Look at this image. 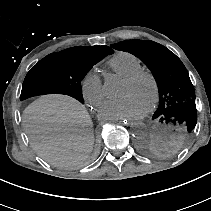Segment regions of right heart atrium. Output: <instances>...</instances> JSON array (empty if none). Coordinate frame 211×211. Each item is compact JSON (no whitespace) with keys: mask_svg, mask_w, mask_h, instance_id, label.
Returning <instances> with one entry per match:
<instances>
[{"mask_svg":"<svg viewBox=\"0 0 211 211\" xmlns=\"http://www.w3.org/2000/svg\"><path fill=\"white\" fill-rule=\"evenodd\" d=\"M80 88L85 102L90 107H98L106 96L101 76L92 71L83 77Z\"/></svg>","mask_w":211,"mask_h":211,"instance_id":"d8ad5b80","label":"right heart atrium"}]
</instances>
